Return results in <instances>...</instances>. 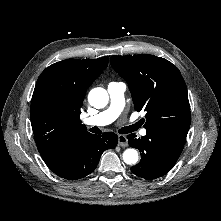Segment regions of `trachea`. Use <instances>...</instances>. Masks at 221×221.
I'll return each instance as SVG.
<instances>
[{
    "label": "trachea",
    "mask_w": 221,
    "mask_h": 221,
    "mask_svg": "<svg viewBox=\"0 0 221 221\" xmlns=\"http://www.w3.org/2000/svg\"><path fill=\"white\" fill-rule=\"evenodd\" d=\"M137 128H138V124H134V125H131L128 127H123L118 132L120 134H127V133H131V132L135 131ZM92 132L97 133V134L101 133V131L99 129H96V130L92 129Z\"/></svg>",
    "instance_id": "trachea-1"
}]
</instances>
